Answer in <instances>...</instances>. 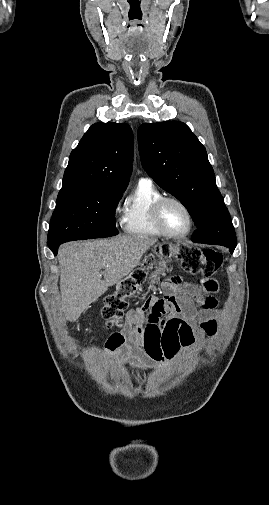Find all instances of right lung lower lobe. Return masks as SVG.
<instances>
[{"mask_svg":"<svg viewBox=\"0 0 269 505\" xmlns=\"http://www.w3.org/2000/svg\"><path fill=\"white\" fill-rule=\"evenodd\" d=\"M60 244H54V245H50V249L52 250V252L56 255L57 254V251H58V247H59Z\"/></svg>","mask_w":269,"mask_h":505,"instance_id":"right-lung-lower-lobe-1","label":"right lung lower lobe"}]
</instances>
